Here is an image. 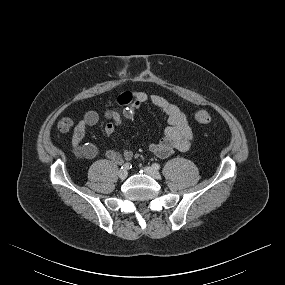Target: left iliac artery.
<instances>
[{"label":"left iliac artery","instance_id":"1","mask_svg":"<svg viewBox=\"0 0 285 285\" xmlns=\"http://www.w3.org/2000/svg\"><path fill=\"white\" fill-rule=\"evenodd\" d=\"M153 168L156 169V170H159L160 169V165L158 163H153Z\"/></svg>","mask_w":285,"mask_h":285}]
</instances>
